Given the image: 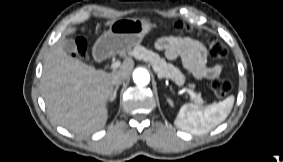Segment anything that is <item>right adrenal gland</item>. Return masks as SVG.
Returning <instances> with one entry per match:
<instances>
[{"instance_id":"obj_1","label":"right adrenal gland","mask_w":283,"mask_h":162,"mask_svg":"<svg viewBox=\"0 0 283 162\" xmlns=\"http://www.w3.org/2000/svg\"><path fill=\"white\" fill-rule=\"evenodd\" d=\"M118 89H119V85L115 87L112 97H111V101H114L116 99Z\"/></svg>"}]
</instances>
